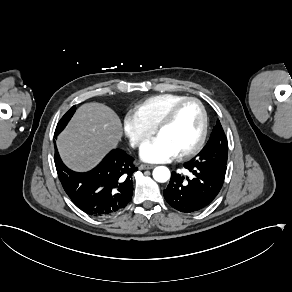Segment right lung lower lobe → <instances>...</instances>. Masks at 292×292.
Returning a JSON list of instances; mask_svg holds the SVG:
<instances>
[{
    "instance_id": "right-lung-lower-lobe-1",
    "label": "right lung lower lobe",
    "mask_w": 292,
    "mask_h": 292,
    "mask_svg": "<svg viewBox=\"0 0 292 292\" xmlns=\"http://www.w3.org/2000/svg\"><path fill=\"white\" fill-rule=\"evenodd\" d=\"M55 166L61 184L72 202L93 217H107L123 210L132 199L134 158L114 149L94 169L79 173L62 162L56 143Z\"/></svg>"
}]
</instances>
